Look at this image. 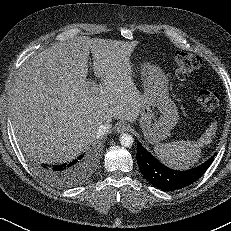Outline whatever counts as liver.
Returning <instances> with one entry per match:
<instances>
[{"mask_svg": "<svg viewBox=\"0 0 231 231\" xmlns=\"http://www.w3.org/2000/svg\"><path fill=\"white\" fill-rule=\"evenodd\" d=\"M138 43L78 36L26 60L9 106L22 150L40 162L71 161L94 143L100 125L134 121L143 105L130 62ZM90 52L95 81L87 78Z\"/></svg>", "mask_w": 231, "mask_h": 231, "instance_id": "6515ba94", "label": "liver"}]
</instances>
